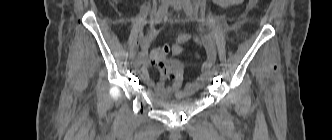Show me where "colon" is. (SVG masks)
Wrapping results in <instances>:
<instances>
[{
    "label": "colon",
    "instance_id": "colon-1",
    "mask_svg": "<svg viewBox=\"0 0 332 140\" xmlns=\"http://www.w3.org/2000/svg\"><path fill=\"white\" fill-rule=\"evenodd\" d=\"M114 1H120V0H114ZM258 0H250V6L253 7L256 5ZM170 51V46L169 45H165L161 48H158V51H157V58L159 60H165L168 52Z\"/></svg>",
    "mask_w": 332,
    "mask_h": 140
}]
</instances>
